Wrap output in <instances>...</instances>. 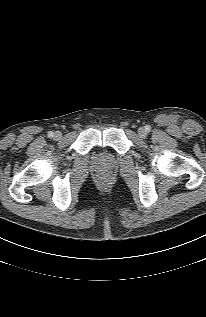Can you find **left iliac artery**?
I'll return each instance as SVG.
<instances>
[{"mask_svg":"<svg viewBox=\"0 0 206 317\" xmlns=\"http://www.w3.org/2000/svg\"><path fill=\"white\" fill-rule=\"evenodd\" d=\"M145 129L147 132H149L151 130V127L149 125L145 126Z\"/></svg>","mask_w":206,"mask_h":317,"instance_id":"1","label":"left iliac artery"}]
</instances>
